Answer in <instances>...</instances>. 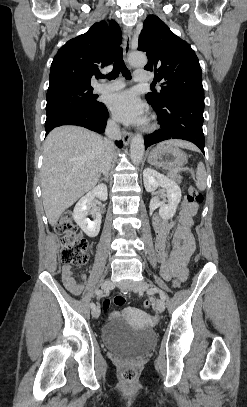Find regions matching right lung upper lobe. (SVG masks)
<instances>
[{
    "mask_svg": "<svg viewBox=\"0 0 247 407\" xmlns=\"http://www.w3.org/2000/svg\"><path fill=\"white\" fill-rule=\"evenodd\" d=\"M120 44L121 30L115 21H111L110 26L105 21L95 23L86 33L59 49L51 64L48 90L91 87V78L97 75L99 67L114 61Z\"/></svg>",
    "mask_w": 247,
    "mask_h": 407,
    "instance_id": "cb5924a9",
    "label": "right lung upper lobe"
}]
</instances>
